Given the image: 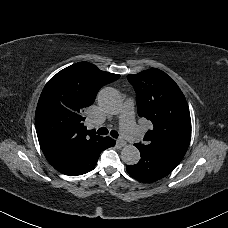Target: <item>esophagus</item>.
I'll use <instances>...</instances> for the list:
<instances>
[{
	"mask_svg": "<svg viewBox=\"0 0 228 228\" xmlns=\"http://www.w3.org/2000/svg\"><path fill=\"white\" fill-rule=\"evenodd\" d=\"M117 144H118L119 146H122V147H123V146L126 145V141H124L123 139L120 138V139L117 140Z\"/></svg>",
	"mask_w": 228,
	"mask_h": 228,
	"instance_id": "obj_1",
	"label": "esophagus"
}]
</instances>
